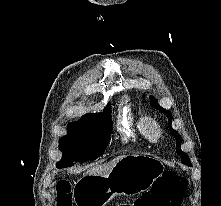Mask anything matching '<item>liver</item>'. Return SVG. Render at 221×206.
I'll use <instances>...</instances> for the list:
<instances>
[{
  "instance_id": "1",
  "label": "liver",
  "mask_w": 221,
  "mask_h": 206,
  "mask_svg": "<svg viewBox=\"0 0 221 206\" xmlns=\"http://www.w3.org/2000/svg\"><path fill=\"white\" fill-rule=\"evenodd\" d=\"M123 157H125V156H120V157H117V158L113 159L112 161H110L108 163L91 167L90 169H88L86 171L85 174H87V175H96V176L107 175L112 170V168L116 165V163L120 159H122Z\"/></svg>"
}]
</instances>
